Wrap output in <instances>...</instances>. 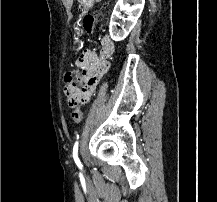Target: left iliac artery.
<instances>
[{
  "label": "left iliac artery",
  "instance_id": "left-iliac-artery-1",
  "mask_svg": "<svg viewBox=\"0 0 217 202\" xmlns=\"http://www.w3.org/2000/svg\"><path fill=\"white\" fill-rule=\"evenodd\" d=\"M73 158L77 165L81 164L78 158V141L75 142L74 147H73Z\"/></svg>",
  "mask_w": 217,
  "mask_h": 202
}]
</instances>
